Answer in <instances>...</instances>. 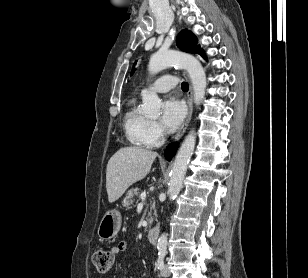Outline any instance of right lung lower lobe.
<instances>
[{
  "label": "right lung lower lobe",
  "mask_w": 308,
  "mask_h": 278,
  "mask_svg": "<svg viewBox=\"0 0 308 278\" xmlns=\"http://www.w3.org/2000/svg\"><path fill=\"white\" fill-rule=\"evenodd\" d=\"M177 148V143L171 144L165 152V157L167 160H170V157L174 155V150Z\"/></svg>",
  "instance_id": "obj_1"
}]
</instances>
